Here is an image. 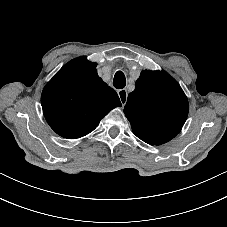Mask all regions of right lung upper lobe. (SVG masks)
<instances>
[{
  "label": "right lung upper lobe",
  "instance_id": "obj_1",
  "mask_svg": "<svg viewBox=\"0 0 227 227\" xmlns=\"http://www.w3.org/2000/svg\"><path fill=\"white\" fill-rule=\"evenodd\" d=\"M46 121L68 139L92 132L100 120L121 102L116 91L98 76L96 63L78 57L47 83L41 96Z\"/></svg>",
  "mask_w": 227,
  "mask_h": 227
}]
</instances>
